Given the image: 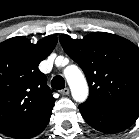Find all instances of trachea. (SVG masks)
Listing matches in <instances>:
<instances>
[{"mask_svg":"<svg viewBox=\"0 0 139 139\" xmlns=\"http://www.w3.org/2000/svg\"><path fill=\"white\" fill-rule=\"evenodd\" d=\"M51 87L57 90H61L65 87V80L62 76L57 75L51 81Z\"/></svg>","mask_w":139,"mask_h":139,"instance_id":"3493384b","label":"trachea"}]
</instances>
